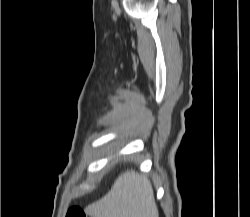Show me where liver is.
Masks as SVG:
<instances>
[{"label": "liver", "instance_id": "obj_1", "mask_svg": "<svg viewBox=\"0 0 250 217\" xmlns=\"http://www.w3.org/2000/svg\"><path fill=\"white\" fill-rule=\"evenodd\" d=\"M85 211L91 217H159L150 180L135 170L121 173L111 190Z\"/></svg>", "mask_w": 250, "mask_h": 217}]
</instances>
